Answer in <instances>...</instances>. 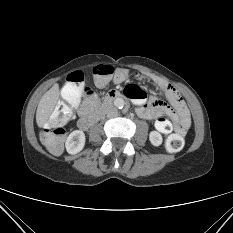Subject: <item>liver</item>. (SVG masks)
I'll return each instance as SVG.
<instances>
[{"instance_id":"1","label":"liver","mask_w":233,"mask_h":233,"mask_svg":"<svg viewBox=\"0 0 233 233\" xmlns=\"http://www.w3.org/2000/svg\"><path fill=\"white\" fill-rule=\"evenodd\" d=\"M59 95V85L55 83L40 99L36 111V122L39 127H43L50 118L59 99Z\"/></svg>"}]
</instances>
